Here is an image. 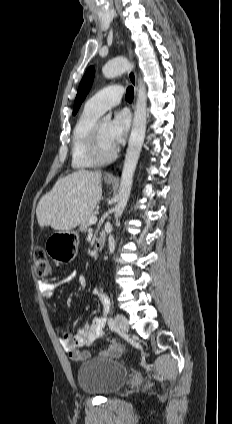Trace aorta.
Here are the masks:
<instances>
[{
	"mask_svg": "<svg viewBox=\"0 0 232 424\" xmlns=\"http://www.w3.org/2000/svg\"><path fill=\"white\" fill-rule=\"evenodd\" d=\"M132 69L131 63L125 58H115L104 65L102 68L103 75L108 78H114ZM138 94L134 111L132 131L130 134L128 147L125 155L122 175L120 179V187L118 193V201L114 208V216L116 221L121 217L132 188L133 176L136 165L140 156L142 145L145 138L146 122H147V96L146 87L142 80H138ZM111 115L104 117V121H110Z\"/></svg>",
	"mask_w": 232,
	"mask_h": 424,
	"instance_id": "1",
	"label": "aorta"
}]
</instances>
